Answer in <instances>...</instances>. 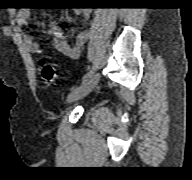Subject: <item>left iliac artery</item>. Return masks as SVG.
Returning <instances> with one entry per match:
<instances>
[{"instance_id":"1","label":"left iliac artery","mask_w":192,"mask_h":180,"mask_svg":"<svg viewBox=\"0 0 192 180\" xmlns=\"http://www.w3.org/2000/svg\"><path fill=\"white\" fill-rule=\"evenodd\" d=\"M93 74V70L91 69L89 72H87L83 78H82V83H84L86 80H88Z\"/></svg>"}]
</instances>
